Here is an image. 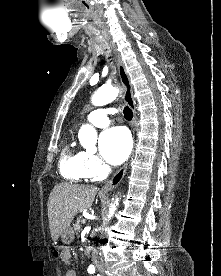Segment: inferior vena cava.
Segmentation results:
<instances>
[{
  "label": "inferior vena cava",
  "mask_w": 221,
  "mask_h": 276,
  "mask_svg": "<svg viewBox=\"0 0 221 276\" xmlns=\"http://www.w3.org/2000/svg\"><path fill=\"white\" fill-rule=\"evenodd\" d=\"M92 262L95 266H99L98 251L96 249H94L92 252Z\"/></svg>",
  "instance_id": "602c4592"
}]
</instances>
